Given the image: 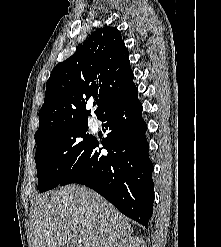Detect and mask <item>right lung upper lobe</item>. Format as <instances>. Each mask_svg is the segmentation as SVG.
<instances>
[{
	"label": "right lung upper lobe",
	"mask_w": 221,
	"mask_h": 247,
	"mask_svg": "<svg viewBox=\"0 0 221 247\" xmlns=\"http://www.w3.org/2000/svg\"><path fill=\"white\" fill-rule=\"evenodd\" d=\"M129 52L116 27L96 30L70 58L52 70L35 138L64 124L87 121V100L97 97V118L136 89Z\"/></svg>",
	"instance_id": "cb5924a9"
}]
</instances>
